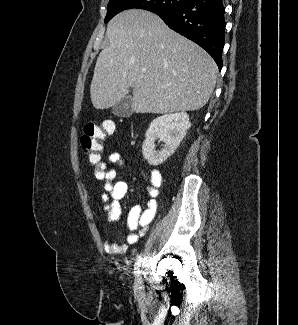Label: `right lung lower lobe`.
<instances>
[{"label":"right lung lower lobe","mask_w":298,"mask_h":325,"mask_svg":"<svg viewBox=\"0 0 298 325\" xmlns=\"http://www.w3.org/2000/svg\"><path fill=\"white\" fill-rule=\"evenodd\" d=\"M155 13L171 29L206 50L221 70L226 24L222 0H190L178 9Z\"/></svg>","instance_id":"98d812e1"}]
</instances>
